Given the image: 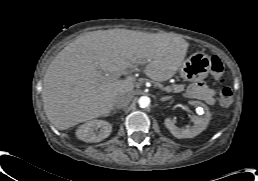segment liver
<instances>
[{"label": "liver", "mask_w": 258, "mask_h": 181, "mask_svg": "<svg viewBox=\"0 0 258 181\" xmlns=\"http://www.w3.org/2000/svg\"><path fill=\"white\" fill-rule=\"evenodd\" d=\"M188 43L170 34L126 29L98 30L61 50L43 78L42 99L48 120L66 130L110 113L117 96L131 93L139 65L154 81L170 79L181 67Z\"/></svg>", "instance_id": "obj_1"}]
</instances>
